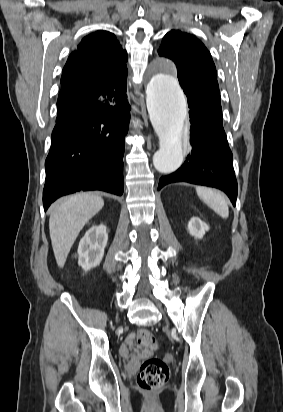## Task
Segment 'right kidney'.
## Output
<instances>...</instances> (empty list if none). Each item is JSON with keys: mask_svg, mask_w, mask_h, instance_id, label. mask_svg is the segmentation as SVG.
Returning a JSON list of instances; mask_svg holds the SVG:
<instances>
[{"mask_svg": "<svg viewBox=\"0 0 283 412\" xmlns=\"http://www.w3.org/2000/svg\"><path fill=\"white\" fill-rule=\"evenodd\" d=\"M107 241L108 234L103 224L92 226L85 233L78 246V264L83 270L88 271L100 264Z\"/></svg>", "mask_w": 283, "mask_h": 412, "instance_id": "right-kidney-1", "label": "right kidney"}]
</instances>
